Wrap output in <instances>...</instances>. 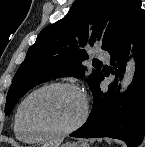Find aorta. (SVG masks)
<instances>
[{"mask_svg":"<svg viewBox=\"0 0 145 147\" xmlns=\"http://www.w3.org/2000/svg\"><path fill=\"white\" fill-rule=\"evenodd\" d=\"M135 69H136V66H135L134 58L130 57L126 65L124 77L121 81L120 92H124L128 88V86L131 84L135 74Z\"/></svg>","mask_w":145,"mask_h":147,"instance_id":"762f6f07","label":"aorta"}]
</instances>
